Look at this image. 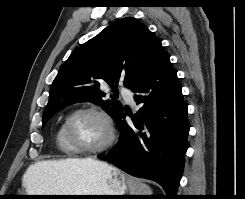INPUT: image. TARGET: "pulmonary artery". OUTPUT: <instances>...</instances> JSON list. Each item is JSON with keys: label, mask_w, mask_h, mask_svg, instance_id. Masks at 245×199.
<instances>
[{"label": "pulmonary artery", "mask_w": 245, "mask_h": 199, "mask_svg": "<svg viewBox=\"0 0 245 199\" xmlns=\"http://www.w3.org/2000/svg\"><path fill=\"white\" fill-rule=\"evenodd\" d=\"M121 94L124 96V98L129 102L133 103L134 102V95L132 91L128 88H121Z\"/></svg>", "instance_id": "1"}]
</instances>
